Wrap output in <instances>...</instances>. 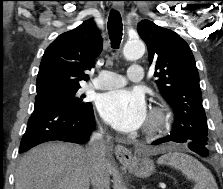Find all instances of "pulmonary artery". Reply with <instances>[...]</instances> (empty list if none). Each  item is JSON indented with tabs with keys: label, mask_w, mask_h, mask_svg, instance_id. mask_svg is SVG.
<instances>
[{
	"label": "pulmonary artery",
	"mask_w": 223,
	"mask_h": 189,
	"mask_svg": "<svg viewBox=\"0 0 223 189\" xmlns=\"http://www.w3.org/2000/svg\"><path fill=\"white\" fill-rule=\"evenodd\" d=\"M144 78V71L138 64H133L127 71V77L115 72L101 70L98 77L90 82L89 86L94 89L106 90L124 86L127 82L137 83Z\"/></svg>",
	"instance_id": "pulmonary-artery-1"
}]
</instances>
